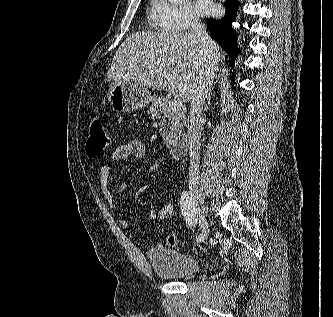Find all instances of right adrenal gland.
Returning <instances> with one entry per match:
<instances>
[{
	"label": "right adrenal gland",
	"mask_w": 333,
	"mask_h": 317,
	"mask_svg": "<svg viewBox=\"0 0 333 317\" xmlns=\"http://www.w3.org/2000/svg\"><path fill=\"white\" fill-rule=\"evenodd\" d=\"M211 94H212V91H210V92L208 93V96H207V103H206V105H205V109H207L208 106L210 105Z\"/></svg>",
	"instance_id": "2a0ac1e0"
}]
</instances>
